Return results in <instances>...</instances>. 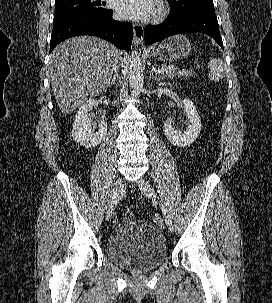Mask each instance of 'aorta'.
Wrapping results in <instances>:
<instances>
[{"mask_svg": "<svg viewBox=\"0 0 272 303\" xmlns=\"http://www.w3.org/2000/svg\"><path fill=\"white\" fill-rule=\"evenodd\" d=\"M144 78L141 59L137 51L129 57V87L131 94L137 96L143 90Z\"/></svg>", "mask_w": 272, "mask_h": 303, "instance_id": "762f6f07", "label": "aorta"}]
</instances>
